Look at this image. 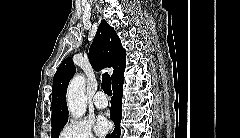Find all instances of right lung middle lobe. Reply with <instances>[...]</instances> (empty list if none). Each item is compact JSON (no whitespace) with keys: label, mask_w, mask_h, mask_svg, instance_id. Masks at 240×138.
I'll list each match as a JSON object with an SVG mask.
<instances>
[{"label":"right lung middle lobe","mask_w":240,"mask_h":138,"mask_svg":"<svg viewBox=\"0 0 240 138\" xmlns=\"http://www.w3.org/2000/svg\"><path fill=\"white\" fill-rule=\"evenodd\" d=\"M65 124L66 123L52 126L51 136L54 137V138H59L60 131Z\"/></svg>","instance_id":"obj_1"}]
</instances>
